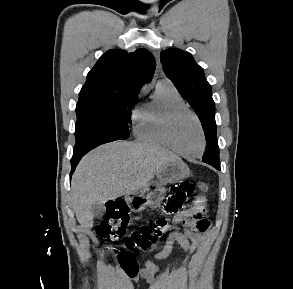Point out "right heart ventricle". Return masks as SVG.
<instances>
[{
  "instance_id": "e07e8e85",
  "label": "right heart ventricle",
  "mask_w": 293,
  "mask_h": 289,
  "mask_svg": "<svg viewBox=\"0 0 293 289\" xmlns=\"http://www.w3.org/2000/svg\"><path fill=\"white\" fill-rule=\"evenodd\" d=\"M184 101L170 83L157 84L150 102L138 107L133 115V133L144 143L170 148L164 135V121L170 109Z\"/></svg>"
}]
</instances>
